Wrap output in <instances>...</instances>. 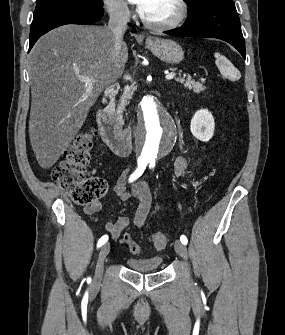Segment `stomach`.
<instances>
[{"instance_id": "obj_1", "label": "stomach", "mask_w": 285, "mask_h": 335, "mask_svg": "<svg viewBox=\"0 0 285 335\" xmlns=\"http://www.w3.org/2000/svg\"><path fill=\"white\" fill-rule=\"evenodd\" d=\"M146 48L152 52L153 56L166 62V64H180L184 60V52L173 40H161V38H147Z\"/></svg>"}]
</instances>
